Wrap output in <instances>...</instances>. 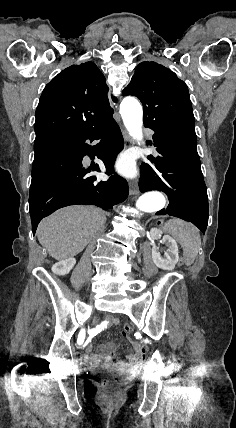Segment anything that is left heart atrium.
Segmentation results:
<instances>
[{"mask_svg":"<svg viewBox=\"0 0 236 428\" xmlns=\"http://www.w3.org/2000/svg\"><path fill=\"white\" fill-rule=\"evenodd\" d=\"M119 170L126 174H131L133 171L131 162L126 158L121 159L119 162Z\"/></svg>","mask_w":236,"mask_h":428,"instance_id":"obj_1","label":"left heart atrium"}]
</instances>
